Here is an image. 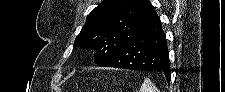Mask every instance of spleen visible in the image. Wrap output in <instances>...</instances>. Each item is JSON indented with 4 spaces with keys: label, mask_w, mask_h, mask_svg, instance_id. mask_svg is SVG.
<instances>
[{
    "label": "spleen",
    "mask_w": 225,
    "mask_h": 92,
    "mask_svg": "<svg viewBox=\"0 0 225 92\" xmlns=\"http://www.w3.org/2000/svg\"><path fill=\"white\" fill-rule=\"evenodd\" d=\"M140 92H159L149 78H146L141 85Z\"/></svg>",
    "instance_id": "spleen-1"
}]
</instances>
